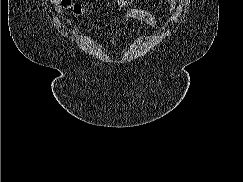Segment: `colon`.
I'll return each instance as SVG.
<instances>
[{
  "label": "colon",
  "mask_w": 243,
  "mask_h": 182,
  "mask_svg": "<svg viewBox=\"0 0 243 182\" xmlns=\"http://www.w3.org/2000/svg\"><path fill=\"white\" fill-rule=\"evenodd\" d=\"M133 0H118V5L120 7H126L132 3ZM61 4L64 8L69 9L73 14L80 16L85 14L89 10V5L75 3L73 4L71 0H61Z\"/></svg>",
  "instance_id": "1"
}]
</instances>
